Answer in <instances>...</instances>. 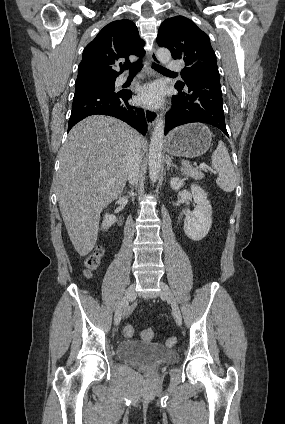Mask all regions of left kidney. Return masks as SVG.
Returning a JSON list of instances; mask_svg holds the SVG:
<instances>
[{"label": "left kidney", "mask_w": 285, "mask_h": 424, "mask_svg": "<svg viewBox=\"0 0 285 424\" xmlns=\"http://www.w3.org/2000/svg\"><path fill=\"white\" fill-rule=\"evenodd\" d=\"M184 180L173 177L170 186L178 191ZM191 193L196 203L192 213L184 219V232L193 241L202 240L209 232L212 225V207L207 199V193L198 185H191Z\"/></svg>", "instance_id": "left-kidney-1"}]
</instances>
